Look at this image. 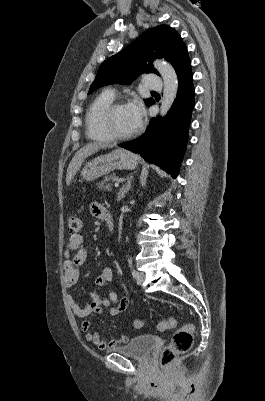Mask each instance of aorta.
Here are the masks:
<instances>
[{"label": "aorta", "mask_w": 265, "mask_h": 401, "mask_svg": "<svg viewBox=\"0 0 265 401\" xmlns=\"http://www.w3.org/2000/svg\"><path fill=\"white\" fill-rule=\"evenodd\" d=\"M153 64L155 68L159 70L164 80V90L160 108V114L164 116V114L168 112L174 98H176L178 90V78L170 62H166V60H154Z\"/></svg>", "instance_id": "aorta-1"}]
</instances>
